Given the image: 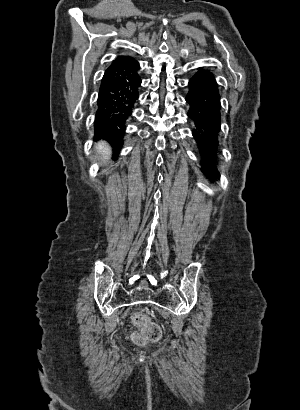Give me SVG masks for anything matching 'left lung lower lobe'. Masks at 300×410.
<instances>
[{
  "label": "left lung lower lobe",
  "mask_w": 300,
  "mask_h": 410,
  "mask_svg": "<svg viewBox=\"0 0 300 410\" xmlns=\"http://www.w3.org/2000/svg\"><path fill=\"white\" fill-rule=\"evenodd\" d=\"M188 86V116L195 125L192 135L200 152L201 171L209 178H219L217 152L221 105L218 85L213 74L202 69L190 79Z\"/></svg>",
  "instance_id": "1"
}]
</instances>
